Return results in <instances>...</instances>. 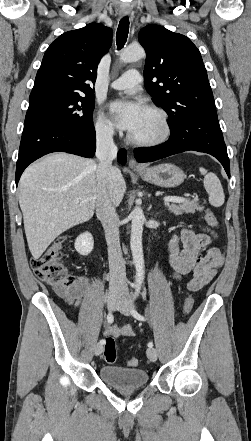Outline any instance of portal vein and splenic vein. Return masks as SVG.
I'll return each mask as SVG.
<instances>
[{
	"label": "portal vein and splenic vein",
	"instance_id": "1",
	"mask_svg": "<svg viewBox=\"0 0 251 441\" xmlns=\"http://www.w3.org/2000/svg\"><path fill=\"white\" fill-rule=\"evenodd\" d=\"M186 201L185 198L183 197H177V196H167L164 198V202L165 204L169 203V202H174V203H182Z\"/></svg>",
	"mask_w": 251,
	"mask_h": 441
}]
</instances>
